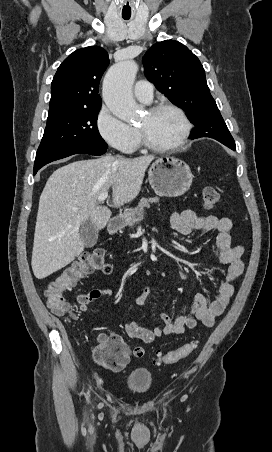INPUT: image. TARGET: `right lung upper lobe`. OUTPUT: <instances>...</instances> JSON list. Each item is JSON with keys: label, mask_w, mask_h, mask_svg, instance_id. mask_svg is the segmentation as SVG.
<instances>
[{"label": "right lung upper lobe", "mask_w": 272, "mask_h": 452, "mask_svg": "<svg viewBox=\"0 0 272 452\" xmlns=\"http://www.w3.org/2000/svg\"><path fill=\"white\" fill-rule=\"evenodd\" d=\"M108 65L107 51L98 46L69 55L51 83L49 114L101 107L99 82Z\"/></svg>", "instance_id": "1"}]
</instances>
